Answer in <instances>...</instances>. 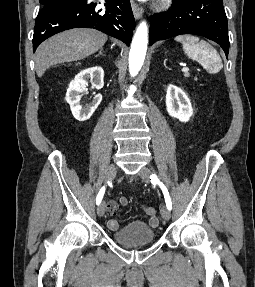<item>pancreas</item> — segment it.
Masks as SVG:
<instances>
[{
	"instance_id": "cf45deb5",
	"label": "pancreas",
	"mask_w": 255,
	"mask_h": 287,
	"mask_svg": "<svg viewBox=\"0 0 255 287\" xmlns=\"http://www.w3.org/2000/svg\"><path fill=\"white\" fill-rule=\"evenodd\" d=\"M184 76H185V78H189V76H190L189 72H185Z\"/></svg>"
}]
</instances>
